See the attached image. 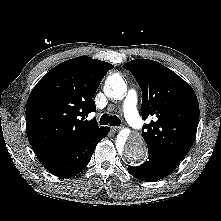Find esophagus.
Listing matches in <instances>:
<instances>
[{
	"label": "esophagus",
	"instance_id": "34e87169",
	"mask_svg": "<svg viewBox=\"0 0 221 221\" xmlns=\"http://www.w3.org/2000/svg\"><path fill=\"white\" fill-rule=\"evenodd\" d=\"M112 132L116 133L120 130V127H112Z\"/></svg>",
	"mask_w": 221,
	"mask_h": 221
}]
</instances>
